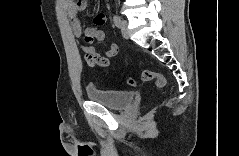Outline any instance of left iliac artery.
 <instances>
[{
  "label": "left iliac artery",
  "instance_id": "1",
  "mask_svg": "<svg viewBox=\"0 0 239 156\" xmlns=\"http://www.w3.org/2000/svg\"><path fill=\"white\" fill-rule=\"evenodd\" d=\"M113 22H114L115 26L120 28V26H121V18L118 15H113Z\"/></svg>",
  "mask_w": 239,
  "mask_h": 156
}]
</instances>
